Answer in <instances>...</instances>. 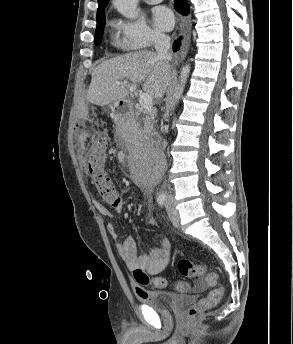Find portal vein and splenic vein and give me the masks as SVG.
<instances>
[{"label":"portal vein and splenic vein","mask_w":293,"mask_h":344,"mask_svg":"<svg viewBox=\"0 0 293 344\" xmlns=\"http://www.w3.org/2000/svg\"><path fill=\"white\" fill-rule=\"evenodd\" d=\"M117 85H126L127 84V81H117L116 82ZM139 103L141 105V107L147 111L151 110L152 109V106H153V100H152V97L147 94V93H142L140 95V98H139Z\"/></svg>","instance_id":"1"}]
</instances>
